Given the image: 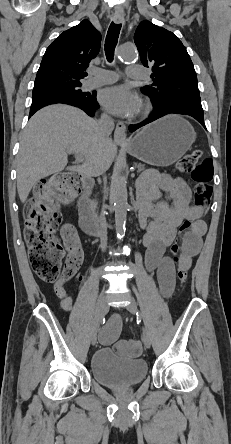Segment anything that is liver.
Segmentation results:
<instances>
[{
  "label": "liver",
  "instance_id": "liver-1",
  "mask_svg": "<svg viewBox=\"0 0 231 444\" xmlns=\"http://www.w3.org/2000/svg\"><path fill=\"white\" fill-rule=\"evenodd\" d=\"M68 154L83 157L81 165L67 167ZM115 158V144L104 139L98 122L78 108L56 104L42 108L21 134L17 156V191L25 202L40 179L67 170L91 176L103 163L108 169Z\"/></svg>",
  "mask_w": 231,
  "mask_h": 444
}]
</instances>
